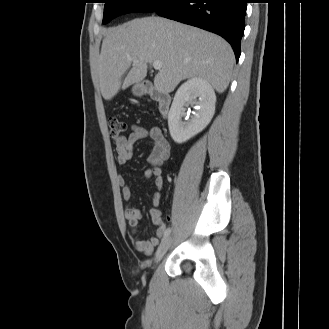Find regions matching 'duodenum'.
<instances>
[{
  "label": "duodenum",
  "instance_id": "410a0bca",
  "mask_svg": "<svg viewBox=\"0 0 329 329\" xmlns=\"http://www.w3.org/2000/svg\"><path fill=\"white\" fill-rule=\"evenodd\" d=\"M143 91L148 93L157 102V109L160 115L167 116L170 109L171 97L164 91L158 90L151 83L143 85Z\"/></svg>",
  "mask_w": 329,
  "mask_h": 329
}]
</instances>
